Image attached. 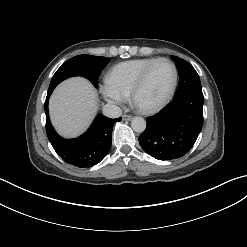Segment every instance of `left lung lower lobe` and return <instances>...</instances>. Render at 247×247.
Masks as SVG:
<instances>
[{"label":"left lung lower lobe","instance_id":"obj_1","mask_svg":"<svg viewBox=\"0 0 247 247\" xmlns=\"http://www.w3.org/2000/svg\"><path fill=\"white\" fill-rule=\"evenodd\" d=\"M201 87L176 91L173 101L147 118L139 137L143 150L158 160L182 157L194 145L203 125Z\"/></svg>","mask_w":247,"mask_h":247}]
</instances>
